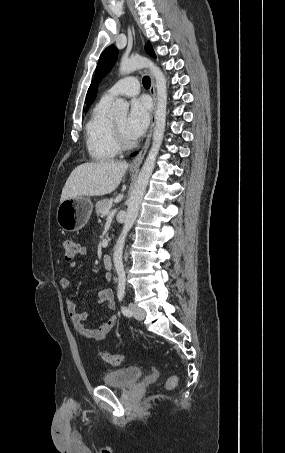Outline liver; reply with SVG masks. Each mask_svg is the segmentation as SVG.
I'll return each mask as SVG.
<instances>
[{
	"label": "liver",
	"mask_w": 285,
	"mask_h": 453,
	"mask_svg": "<svg viewBox=\"0 0 285 453\" xmlns=\"http://www.w3.org/2000/svg\"><path fill=\"white\" fill-rule=\"evenodd\" d=\"M128 168L125 161H99L77 166L68 177L60 202L84 196H103L113 192Z\"/></svg>",
	"instance_id": "obj_1"
}]
</instances>
